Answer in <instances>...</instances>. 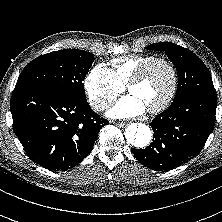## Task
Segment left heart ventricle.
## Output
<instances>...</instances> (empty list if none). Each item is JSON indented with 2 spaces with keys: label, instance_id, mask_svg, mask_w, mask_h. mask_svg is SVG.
<instances>
[{
  "label": "left heart ventricle",
  "instance_id": "obj_1",
  "mask_svg": "<svg viewBox=\"0 0 222 222\" xmlns=\"http://www.w3.org/2000/svg\"><path fill=\"white\" fill-rule=\"evenodd\" d=\"M171 73L163 64H155L141 82L132 85L129 92L136 95L146 109L157 106L163 101L171 87Z\"/></svg>",
  "mask_w": 222,
  "mask_h": 222
}]
</instances>
